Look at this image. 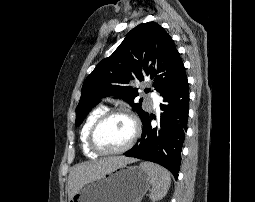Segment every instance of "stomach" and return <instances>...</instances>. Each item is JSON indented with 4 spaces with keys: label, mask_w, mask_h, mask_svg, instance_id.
Returning a JSON list of instances; mask_svg holds the SVG:
<instances>
[{
    "label": "stomach",
    "mask_w": 255,
    "mask_h": 202,
    "mask_svg": "<svg viewBox=\"0 0 255 202\" xmlns=\"http://www.w3.org/2000/svg\"><path fill=\"white\" fill-rule=\"evenodd\" d=\"M151 185L144 170L125 165L86 183L69 202H141Z\"/></svg>",
    "instance_id": "obj_1"
}]
</instances>
